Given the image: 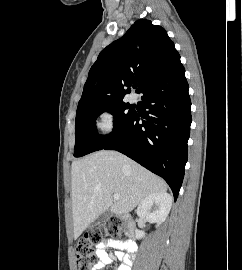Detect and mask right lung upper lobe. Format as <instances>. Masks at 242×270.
Segmentation results:
<instances>
[{
	"mask_svg": "<svg viewBox=\"0 0 242 270\" xmlns=\"http://www.w3.org/2000/svg\"><path fill=\"white\" fill-rule=\"evenodd\" d=\"M180 61L164 28L150 20L136 21L125 35L104 48L89 71L77 111L123 100L138 83L140 92Z\"/></svg>",
	"mask_w": 242,
	"mask_h": 270,
	"instance_id": "1",
	"label": "right lung upper lobe"
}]
</instances>
